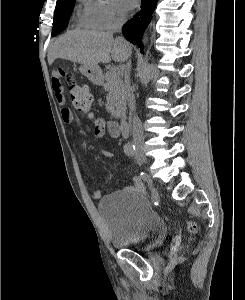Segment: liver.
<instances>
[{"label":"liver","mask_w":245,"mask_h":300,"mask_svg":"<svg viewBox=\"0 0 245 300\" xmlns=\"http://www.w3.org/2000/svg\"><path fill=\"white\" fill-rule=\"evenodd\" d=\"M131 53V45L123 38L114 39L112 32L78 29L68 31L51 45L48 63L51 65L61 58L95 67L100 62L108 63L111 58L115 62H124Z\"/></svg>","instance_id":"6515ba94"}]
</instances>
